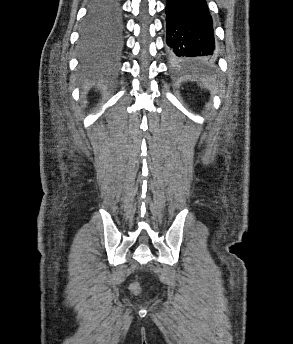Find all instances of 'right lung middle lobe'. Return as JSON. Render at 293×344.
Returning <instances> with one entry per match:
<instances>
[{"instance_id": "dd1d6c3e", "label": "right lung middle lobe", "mask_w": 293, "mask_h": 344, "mask_svg": "<svg viewBox=\"0 0 293 344\" xmlns=\"http://www.w3.org/2000/svg\"><path fill=\"white\" fill-rule=\"evenodd\" d=\"M121 10L118 0H94L81 32V47L85 50L115 45L120 30Z\"/></svg>"}]
</instances>
